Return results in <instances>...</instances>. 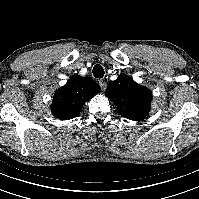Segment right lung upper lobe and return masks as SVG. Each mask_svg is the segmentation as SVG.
Masks as SVG:
<instances>
[{
  "label": "right lung upper lobe",
  "mask_w": 199,
  "mask_h": 199,
  "mask_svg": "<svg viewBox=\"0 0 199 199\" xmlns=\"http://www.w3.org/2000/svg\"><path fill=\"white\" fill-rule=\"evenodd\" d=\"M100 86L90 77L73 76L67 83L56 90L51 110L60 120L77 117L84 103L100 92Z\"/></svg>",
  "instance_id": "1"
}]
</instances>
